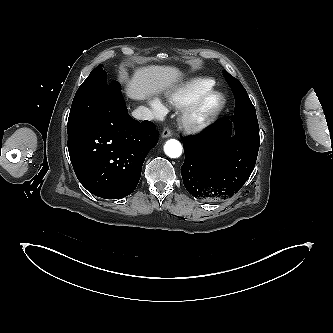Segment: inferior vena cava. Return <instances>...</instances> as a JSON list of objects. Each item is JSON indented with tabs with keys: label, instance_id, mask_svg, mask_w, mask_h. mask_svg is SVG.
<instances>
[{
	"label": "inferior vena cava",
	"instance_id": "obj_1",
	"mask_svg": "<svg viewBox=\"0 0 333 333\" xmlns=\"http://www.w3.org/2000/svg\"><path fill=\"white\" fill-rule=\"evenodd\" d=\"M132 116L138 120H153L155 115L149 108L140 106L132 112Z\"/></svg>",
	"mask_w": 333,
	"mask_h": 333
}]
</instances>
